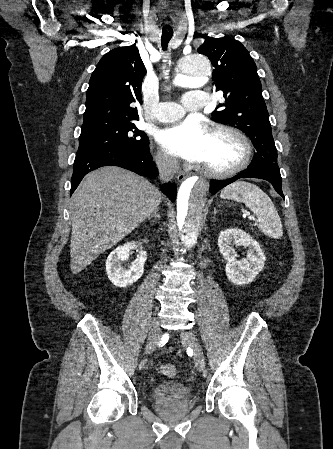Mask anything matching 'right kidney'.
<instances>
[{"label":"right kidney","mask_w":333,"mask_h":449,"mask_svg":"<svg viewBox=\"0 0 333 449\" xmlns=\"http://www.w3.org/2000/svg\"><path fill=\"white\" fill-rule=\"evenodd\" d=\"M137 245L136 242L127 243L113 250L106 260V272L109 280L116 287H126L135 283L144 272V264L147 260V254L141 250L137 259L131 266L124 268L122 261L128 259L131 248Z\"/></svg>","instance_id":"1"}]
</instances>
